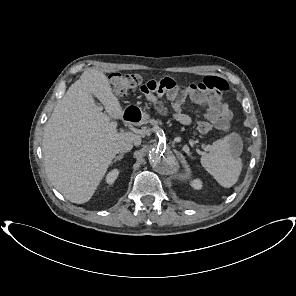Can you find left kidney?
Wrapping results in <instances>:
<instances>
[{"mask_svg":"<svg viewBox=\"0 0 296 296\" xmlns=\"http://www.w3.org/2000/svg\"><path fill=\"white\" fill-rule=\"evenodd\" d=\"M192 186L195 188V189H201L202 188V183L200 180L196 179L192 182Z\"/></svg>","mask_w":296,"mask_h":296,"instance_id":"obj_1","label":"left kidney"}]
</instances>
